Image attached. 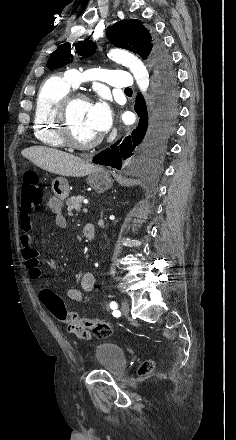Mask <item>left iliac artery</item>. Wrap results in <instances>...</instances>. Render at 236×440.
I'll use <instances>...</instances> for the list:
<instances>
[{
    "mask_svg": "<svg viewBox=\"0 0 236 440\" xmlns=\"http://www.w3.org/2000/svg\"><path fill=\"white\" fill-rule=\"evenodd\" d=\"M110 308L111 309H114V312H113V315L114 316H116L117 314H118V312H117V308H118V304L115 302V301H112L111 303H110Z\"/></svg>",
    "mask_w": 236,
    "mask_h": 440,
    "instance_id": "1",
    "label": "left iliac artery"
}]
</instances>
